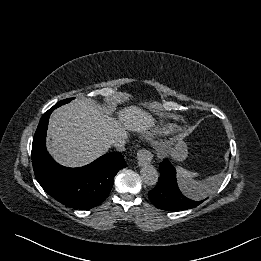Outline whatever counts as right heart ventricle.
<instances>
[{
  "label": "right heart ventricle",
  "instance_id": "1",
  "mask_svg": "<svg viewBox=\"0 0 261 261\" xmlns=\"http://www.w3.org/2000/svg\"><path fill=\"white\" fill-rule=\"evenodd\" d=\"M172 129H173V125H171V124H167V125H165L164 128H163L164 131H170V130H172Z\"/></svg>",
  "mask_w": 261,
  "mask_h": 261
}]
</instances>
